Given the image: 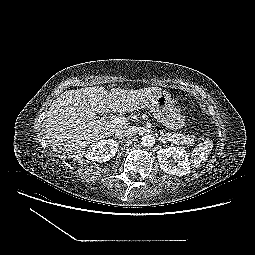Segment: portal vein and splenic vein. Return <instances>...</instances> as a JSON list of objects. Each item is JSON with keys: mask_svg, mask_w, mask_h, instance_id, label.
Segmentation results:
<instances>
[{"mask_svg": "<svg viewBox=\"0 0 255 255\" xmlns=\"http://www.w3.org/2000/svg\"><path fill=\"white\" fill-rule=\"evenodd\" d=\"M111 122L114 124H125L128 122L126 117H114L111 119Z\"/></svg>", "mask_w": 255, "mask_h": 255, "instance_id": "portal-vein-and-splenic-vein-1", "label": "portal vein and splenic vein"}]
</instances>
